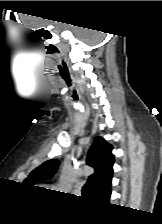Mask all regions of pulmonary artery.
Masks as SVG:
<instances>
[{
	"label": "pulmonary artery",
	"instance_id": "1",
	"mask_svg": "<svg viewBox=\"0 0 162 224\" xmlns=\"http://www.w3.org/2000/svg\"><path fill=\"white\" fill-rule=\"evenodd\" d=\"M79 190H80V185H76L75 188H74V191L78 192Z\"/></svg>",
	"mask_w": 162,
	"mask_h": 224
}]
</instances>
